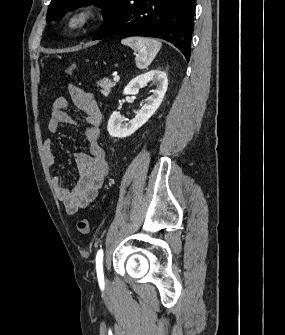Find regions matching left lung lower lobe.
Wrapping results in <instances>:
<instances>
[{
    "label": "left lung lower lobe",
    "mask_w": 285,
    "mask_h": 335,
    "mask_svg": "<svg viewBox=\"0 0 285 335\" xmlns=\"http://www.w3.org/2000/svg\"><path fill=\"white\" fill-rule=\"evenodd\" d=\"M194 0H119L93 40L119 35L164 39L190 59Z\"/></svg>",
    "instance_id": "left-lung-lower-lobe-1"
}]
</instances>
